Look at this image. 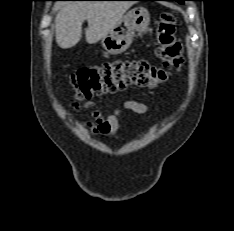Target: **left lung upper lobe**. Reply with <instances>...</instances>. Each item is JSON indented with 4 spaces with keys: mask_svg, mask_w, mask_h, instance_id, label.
Segmentation results:
<instances>
[{
    "mask_svg": "<svg viewBox=\"0 0 234 231\" xmlns=\"http://www.w3.org/2000/svg\"><path fill=\"white\" fill-rule=\"evenodd\" d=\"M179 3H183L184 1H188V0H176Z\"/></svg>",
    "mask_w": 234,
    "mask_h": 231,
    "instance_id": "1",
    "label": "left lung upper lobe"
}]
</instances>
